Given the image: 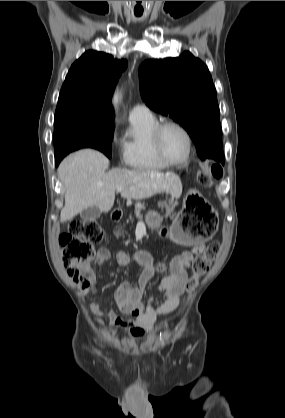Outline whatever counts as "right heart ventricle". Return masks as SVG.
<instances>
[{
	"label": "right heart ventricle",
	"mask_w": 285,
	"mask_h": 418,
	"mask_svg": "<svg viewBox=\"0 0 285 418\" xmlns=\"http://www.w3.org/2000/svg\"><path fill=\"white\" fill-rule=\"evenodd\" d=\"M131 125L123 138L125 163L142 170H160L168 165L161 161L151 144V134L158 122L150 119L130 121Z\"/></svg>",
	"instance_id": "right-heart-ventricle-1"
}]
</instances>
